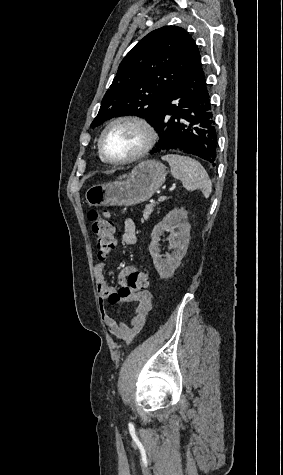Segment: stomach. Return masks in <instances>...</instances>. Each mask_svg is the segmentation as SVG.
Masks as SVG:
<instances>
[{"mask_svg":"<svg viewBox=\"0 0 283 475\" xmlns=\"http://www.w3.org/2000/svg\"><path fill=\"white\" fill-rule=\"evenodd\" d=\"M166 168L158 160H144L133 168L124 182L92 186L85 194L89 206H135L149 200L166 178Z\"/></svg>","mask_w":283,"mask_h":475,"instance_id":"1","label":"stomach"}]
</instances>
